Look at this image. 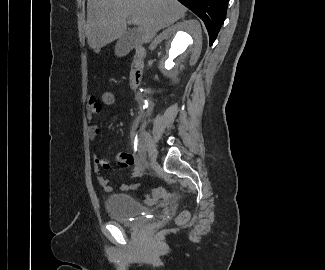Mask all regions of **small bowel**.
<instances>
[{
  "mask_svg": "<svg viewBox=\"0 0 325 270\" xmlns=\"http://www.w3.org/2000/svg\"><path fill=\"white\" fill-rule=\"evenodd\" d=\"M101 96H104L102 93ZM113 96H115L113 94ZM114 103H100V100H98L95 97H91L87 102V117L88 120L91 121L93 117L100 113L103 106H111ZM100 134V128L96 124H91L89 127V137L94 139ZM112 161H116L120 168H128L134 164V156L131 153L128 152H120L113 158H105L98 155L94 156V163H95V169L96 171H99L100 169L109 170L112 167ZM141 176V170L139 168H135L132 173L133 178H138ZM98 182L99 184L104 188L105 191L111 192L113 191L114 187L110 184V181L107 177L103 175L98 176ZM138 188L137 183H130V184H121L119 186L120 191H130V190H136Z\"/></svg>",
  "mask_w": 325,
  "mask_h": 270,
  "instance_id": "1",
  "label": "small bowel"
}]
</instances>
